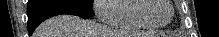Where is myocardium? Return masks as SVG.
Here are the masks:
<instances>
[{"label": "myocardium", "mask_w": 219, "mask_h": 37, "mask_svg": "<svg viewBox=\"0 0 219 37\" xmlns=\"http://www.w3.org/2000/svg\"><path fill=\"white\" fill-rule=\"evenodd\" d=\"M166 1H167L168 5L170 6L171 15H170L169 19H168L167 21H165V22H162V23H155V22L150 21V20L145 16V13H144V12H145L146 9L148 8V5H147L148 0H137V1H136L135 8H134V14H135L136 18H137L140 22H142L143 24H145V25L148 26V27L155 28V29L165 27V26H167L168 24H170V22L173 20L174 15H175V10H174L172 1H170V0H166Z\"/></svg>", "instance_id": "obj_1"}]
</instances>
